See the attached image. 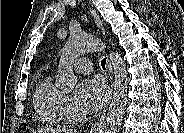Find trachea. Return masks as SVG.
<instances>
[{"mask_svg": "<svg viewBox=\"0 0 184 133\" xmlns=\"http://www.w3.org/2000/svg\"><path fill=\"white\" fill-rule=\"evenodd\" d=\"M105 66H106V59H103V60L101 61V67H102L103 69H105Z\"/></svg>", "mask_w": 184, "mask_h": 133, "instance_id": "3493384b", "label": "trachea"}]
</instances>
